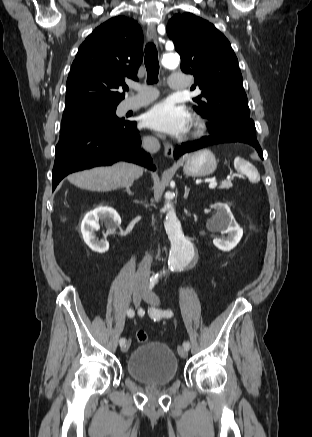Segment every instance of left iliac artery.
<instances>
[{"label":"left iliac artery","mask_w":312,"mask_h":437,"mask_svg":"<svg viewBox=\"0 0 312 437\" xmlns=\"http://www.w3.org/2000/svg\"><path fill=\"white\" fill-rule=\"evenodd\" d=\"M156 281H157V280L154 279V278L150 280V285H149V288H150V289H152V288L154 287ZM149 313H150V316H151L152 318H154V319H156V318H160V317L170 318V317L173 316V312L170 311V310H164V311H163V310H158V309H150ZM189 346H190V344H189L188 341H185V342L183 343V347H184V348L189 349Z\"/></svg>","instance_id":"44dca946"}]
</instances>
